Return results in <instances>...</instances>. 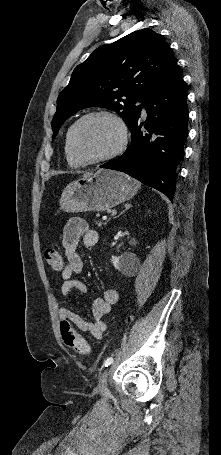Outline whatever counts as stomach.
Returning <instances> with one entry per match:
<instances>
[{
	"mask_svg": "<svg viewBox=\"0 0 221 455\" xmlns=\"http://www.w3.org/2000/svg\"><path fill=\"white\" fill-rule=\"evenodd\" d=\"M138 181L108 169L80 178L67 185L60 198L66 212L105 211L131 199L140 189Z\"/></svg>",
	"mask_w": 221,
	"mask_h": 455,
	"instance_id": "stomach-1",
	"label": "stomach"
}]
</instances>
